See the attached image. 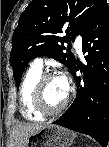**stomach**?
<instances>
[{"mask_svg": "<svg viewBox=\"0 0 109 147\" xmlns=\"http://www.w3.org/2000/svg\"><path fill=\"white\" fill-rule=\"evenodd\" d=\"M76 134L58 125L48 124L28 138L27 147H70Z\"/></svg>", "mask_w": 109, "mask_h": 147, "instance_id": "obj_1", "label": "stomach"}]
</instances>
